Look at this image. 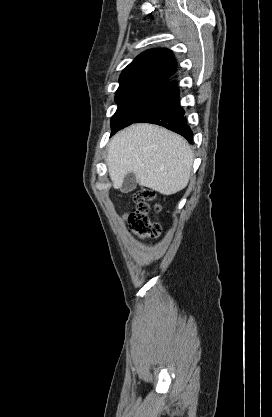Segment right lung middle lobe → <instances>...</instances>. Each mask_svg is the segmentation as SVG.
<instances>
[{
    "mask_svg": "<svg viewBox=\"0 0 272 417\" xmlns=\"http://www.w3.org/2000/svg\"><path fill=\"white\" fill-rule=\"evenodd\" d=\"M163 89H136L117 93L118 109L111 119L112 134L132 124L141 116Z\"/></svg>",
    "mask_w": 272,
    "mask_h": 417,
    "instance_id": "right-lung-middle-lobe-1",
    "label": "right lung middle lobe"
}]
</instances>
